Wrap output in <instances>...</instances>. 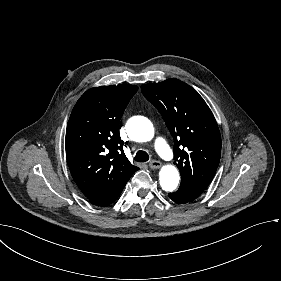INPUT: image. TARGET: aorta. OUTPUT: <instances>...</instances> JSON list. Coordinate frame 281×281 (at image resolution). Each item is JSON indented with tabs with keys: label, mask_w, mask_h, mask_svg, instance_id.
Returning a JSON list of instances; mask_svg holds the SVG:
<instances>
[{
	"label": "aorta",
	"mask_w": 281,
	"mask_h": 281,
	"mask_svg": "<svg viewBox=\"0 0 281 281\" xmlns=\"http://www.w3.org/2000/svg\"><path fill=\"white\" fill-rule=\"evenodd\" d=\"M129 136L137 142H147L154 137V127L145 117H135L127 123ZM180 175L173 165H165L159 172L160 186L164 191L172 192L176 189Z\"/></svg>",
	"instance_id": "1"
}]
</instances>
